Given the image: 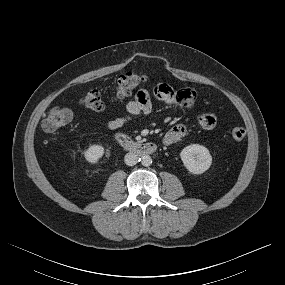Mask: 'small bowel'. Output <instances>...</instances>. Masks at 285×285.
<instances>
[{"instance_id":"c3829d8e","label":"small bowel","mask_w":285,"mask_h":285,"mask_svg":"<svg viewBox=\"0 0 285 285\" xmlns=\"http://www.w3.org/2000/svg\"><path fill=\"white\" fill-rule=\"evenodd\" d=\"M152 100L157 104L178 102L183 106L191 107L195 102V92L189 88L174 91L166 83L155 84L151 89V94L148 90L141 89L136 93L134 99L126 103L124 115L107 122L108 129L117 130L127 124L133 117L151 113L153 109ZM196 122L201 128L211 130L215 128L217 118L213 113L202 112L196 117ZM187 131L188 127L186 125H175L165 133L163 143L167 146L176 144L186 135Z\"/></svg>"}]
</instances>
